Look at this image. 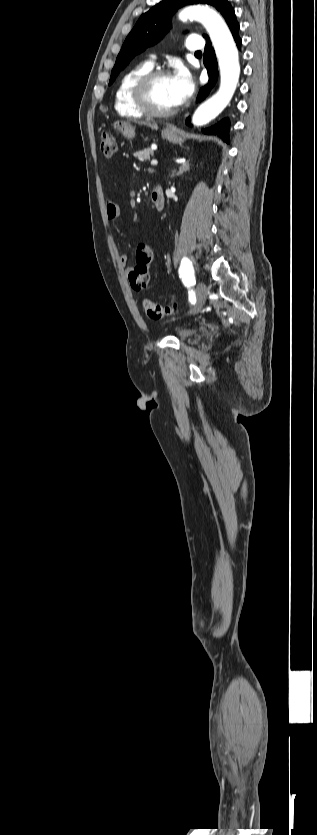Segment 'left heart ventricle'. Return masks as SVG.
Returning <instances> with one entry per match:
<instances>
[{"instance_id":"b2bd125f","label":"left heart ventricle","mask_w":317,"mask_h":835,"mask_svg":"<svg viewBox=\"0 0 317 835\" xmlns=\"http://www.w3.org/2000/svg\"><path fill=\"white\" fill-rule=\"evenodd\" d=\"M152 99L156 107L162 110L171 109L176 106L171 87V77L161 78L156 81L152 90Z\"/></svg>"}]
</instances>
